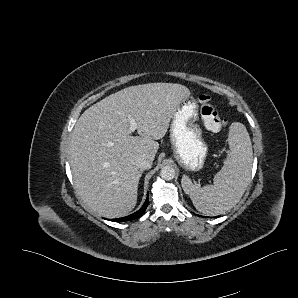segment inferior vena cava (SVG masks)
<instances>
[{
	"label": "inferior vena cava",
	"instance_id": "1",
	"mask_svg": "<svg viewBox=\"0 0 298 298\" xmlns=\"http://www.w3.org/2000/svg\"><path fill=\"white\" fill-rule=\"evenodd\" d=\"M136 167L141 170L151 169L152 161L145 159L144 157H140L136 160Z\"/></svg>",
	"mask_w": 298,
	"mask_h": 298
}]
</instances>
